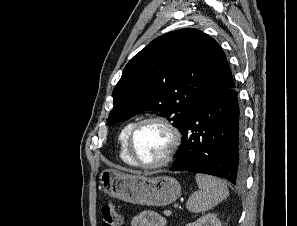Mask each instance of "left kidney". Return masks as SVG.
<instances>
[{
  "instance_id": "5707ae66",
  "label": "left kidney",
  "mask_w": 297,
  "mask_h": 226,
  "mask_svg": "<svg viewBox=\"0 0 297 226\" xmlns=\"http://www.w3.org/2000/svg\"><path fill=\"white\" fill-rule=\"evenodd\" d=\"M186 226H221V222L217 218V215L209 213L194 222L186 224Z\"/></svg>"
}]
</instances>
